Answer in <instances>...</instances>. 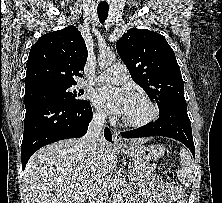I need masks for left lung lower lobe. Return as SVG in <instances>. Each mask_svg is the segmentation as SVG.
<instances>
[{
    "label": "left lung lower lobe",
    "mask_w": 222,
    "mask_h": 203,
    "mask_svg": "<svg viewBox=\"0 0 222 203\" xmlns=\"http://www.w3.org/2000/svg\"><path fill=\"white\" fill-rule=\"evenodd\" d=\"M124 138L164 136L176 139L186 145L195 156L190 119L187 107L173 105L160 112L159 118L135 130L122 132Z\"/></svg>",
    "instance_id": "1"
}]
</instances>
